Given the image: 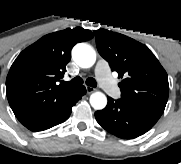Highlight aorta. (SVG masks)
Segmentation results:
<instances>
[{"mask_svg": "<svg viewBox=\"0 0 181 164\" xmlns=\"http://www.w3.org/2000/svg\"><path fill=\"white\" fill-rule=\"evenodd\" d=\"M73 60L82 68H90L96 61V52L88 44H77L72 50ZM90 104L96 110H101L107 105V97L102 92H94L90 96Z\"/></svg>", "mask_w": 181, "mask_h": 164, "instance_id": "762f6f07", "label": "aorta"}]
</instances>
